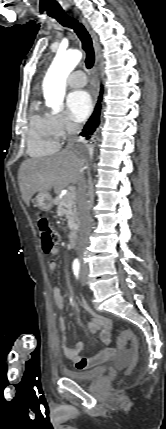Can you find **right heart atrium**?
Here are the masks:
<instances>
[{
	"label": "right heart atrium",
	"mask_w": 166,
	"mask_h": 429,
	"mask_svg": "<svg viewBox=\"0 0 166 429\" xmlns=\"http://www.w3.org/2000/svg\"><path fill=\"white\" fill-rule=\"evenodd\" d=\"M47 117L52 132L57 138H65L77 130V127L62 114L48 113Z\"/></svg>",
	"instance_id": "1"
}]
</instances>
